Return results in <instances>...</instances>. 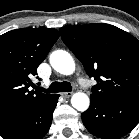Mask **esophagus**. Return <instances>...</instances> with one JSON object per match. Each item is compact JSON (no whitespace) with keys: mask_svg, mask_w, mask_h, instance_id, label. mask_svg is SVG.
<instances>
[{"mask_svg":"<svg viewBox=\"0 0 139 139\" xmlns=\"http://www.w3.org/2000/svg\"><path fill=\"white\" fill-rule=\"evenodd\" d=\"M62 96H64L65 98H69L72 96V92H62Z\"/></svg>","mask_w":139,"mask_h":139,"instance_id":"1","label":"esophagus"}]
</instances>
